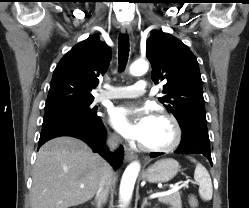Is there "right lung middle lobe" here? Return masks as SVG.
Listing matches in <instances>:
<instances>
[{"instance_id":"dd1d6c3e","label":"right lung middle lobe","mask_w":249,"mask_h":208,"mask_svg":"<svg viewBox=\"0 0 249 208\" xmlns=\"http://www.w3.org/2000/svg\"><path fill=\"white\" fill-rule=\"evenodd\" d=\"M93 100L82 101V102H72L61 104L53 107L45 108V114L56 113L65 115H74L84 119H94L97 118L96 110L97 108H91V103Z\"/></svg>"}]
</instances>
